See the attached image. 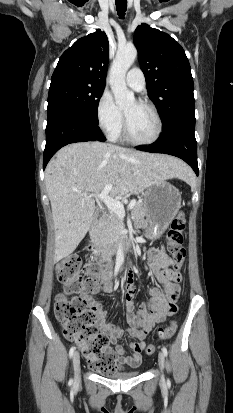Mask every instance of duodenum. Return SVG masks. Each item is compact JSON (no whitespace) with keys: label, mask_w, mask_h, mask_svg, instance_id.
I'll return each instance as SVG.
<instances>
[{"label":"duodenum","mask_w":233,"mask_h":413,"mask_svg":"<svg viewBox=\"0 0 233 413\" xmlns=\"http://www.w3.org/2000/svg\"><path fill=\"white\" fill-rule=\"evenodd\" d=\"M129 249L131 247V241L125 236H118L116 240L105 247L102 248H94L93 246L89 247V250L94 252V254L102 261H106L108 256L112 250L117 248Z\"/></svg>","instance_id":"410a0bca"}]
</instances>
